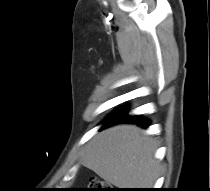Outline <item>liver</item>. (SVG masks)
<instances>
[{"instance_id": "6515ba94", "label": "liver", "mask_w": 210, "mask_h": 191, "mask_svg": "<svg viewBox=\"0 0 210 191\" xmlns=\"http://www.w3.org/2000/svg\"><path fill=\"white\" fill-rule=\"evenodd\" d=\"M155 142L135 125H117L97 134L81 163L118 188H149L158 176Z\"/></svg>"}]
</instances>
